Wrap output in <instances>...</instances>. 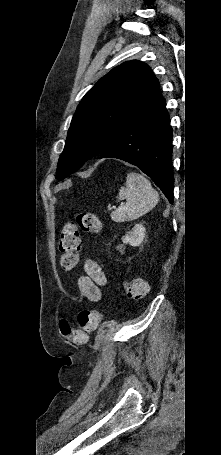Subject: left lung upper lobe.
Wrapping results in <instances>:
<instances>
[{
	"mask_svg": "<svg viewBox=\"0 0 221 455\" xmlns=\"http://www.w3.org/2000/svg\"><path fill=\"white\" fill-rule=\"evenodd\" d=\"M161 98L159 81L147 64L133 60L112 69L78 105L58 161L57 179H64L86 160L99 155Z\"/></svg>",
	"mask_w": 221,
	"mask_h": 455,
	"instance_id": "obj_1",
	"label": "left lung upper lobe"
}]
</instances>
